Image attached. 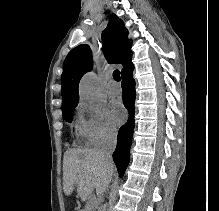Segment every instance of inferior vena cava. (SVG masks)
<instances>
[{
    "instance_id": "602c4592",
    "label": "inferior vena cava",
    "mask_w": 219,
    "mask_h": 211,
    "mask_svg": "<svg viewBox=\"0 0 219 211\" xmlns=\"http://www.w3.org/2000/svg\"><path fill=\"white\" fill-rule=\"evenodd\" d=\"M117 133L116 131H109V133H107L106 137H104L103 139V143L100 147V149H98V151H101L103 157H105V159H110V161L106 162L107 166H114L115 162L112 159V153L116 147V143H117Z\"/></svg>"
}]
</instances>
